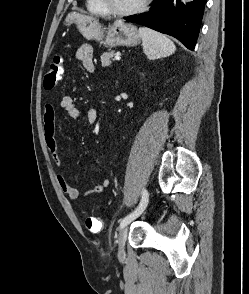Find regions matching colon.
I'll return each instance as SVG.
<instances>
[{
  "mask_svg": "<svg viewBox=\"0 0 249 294\" xmlns=\"http://www.w3.org/2000/svg\"><path fill=\"white\" fill-rule=\"evenodd\" d=\"M63 66L64 59L63 56L57 54L53 57V60L48 66L45 78H44V88L51 90L55 88L62 80L63 76ZM84 224L87 230L91 232H99L103 228V222L100 218L93 216H86L84 219Z\"/></svg>",
  "mask_w": 249,
  "mask_h": 294,
  "instance_id": "obj_1",
  "label": "colon"
}]
</instances>
